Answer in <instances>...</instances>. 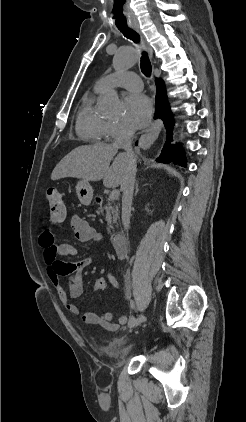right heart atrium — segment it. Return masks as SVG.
<instances>
[{"mask_svg":"<svg viewBox=\"0 0 246 422\" xmlns=\"http://www.w3.org/2000/svg\"><path fill=\"white\" fill-rule=\"evenodd\" d=\"M131 133V130L124 123L119 121H106L104 137L107 140H115Z\"/></svg>","mask_w":246,"mask_h":422,"instance_id":"1","label":"right heart atrium"}]
</instances>
